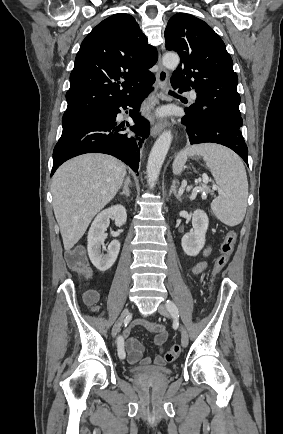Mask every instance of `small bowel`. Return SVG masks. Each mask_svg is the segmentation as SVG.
I'll return each instance as SVG.
<instances>
[{
    "mask_svg": "<svg viewBox=\"0 0 283 434\" xmlns=\"http://www.w3.org/2000/svg\"><path fill=\"white\" fill-rule=\"evenodd\" d=\"M210 253H211V246H207L203 250V255L208 256L210 255ZM206 266H207L206 262L197 263L192 267V271L196 274L200 273L206 268ZM92 293L96 295L95 292ZM135 326H143L150 334H153L154 343L159 349V354L155 356L154 359L150 357L143 358L141 361L142 365L143 366L155 365L157 367L164 366L165 360L162 354H163L164 344L168 337L167 332L161 325L146 320H137L127 330L124 331L123 334L125 339L124 351L126 352L125 354H127L128 361L131 364L137 363L141 359L143 353L142 343L138 339L129 336L131 329Z\"/></svg>",
    "mask_w": 283,
    "mask_h": 434,
    "instance_id": "obj_1",
    "label": "small bowel"
}]
</instances>
